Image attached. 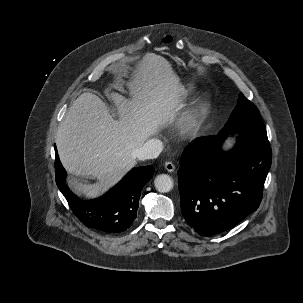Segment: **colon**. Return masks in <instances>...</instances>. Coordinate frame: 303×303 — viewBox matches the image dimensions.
<instances>
[{
  "label": "colon",
  "instance_id": "colon-1",
  "mask_svg": "<svg viewBox=\"0 0 303 303\" xmlns=\"http://www.w3.org/2000/svg\"><path fill=\"white\" fill-rule=\"evenodd\" d=\"M165 42H167V43L171 42V38L167 37V39L165 40Z\"/></svg>",
  "mask_w": 303,
  "mask_h": 303
}]
</instances>
